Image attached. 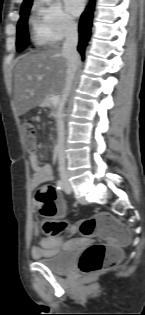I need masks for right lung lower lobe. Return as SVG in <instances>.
I'll return each instance as SVG.
<instances>
[{
  "instance_id": "right-lung-lower-lobe-1",
  "label": "right lung lower lobe",
  "mask_w": 145,
  "mask_h": 315,
  "mask_svg": "<svg viewBox=\"0 0 145 315\" xmlns=\"http://www.w3.org/2000/svg\"><path fill=\"white\" fill-rule=\"evenodd\" d=\"M95 0H91L89 6L86 8L81 16L79 23V44L78 51L84 59L85 48L91 35L92 18L94 11Z\"/></svg>"
}]
</instances>
